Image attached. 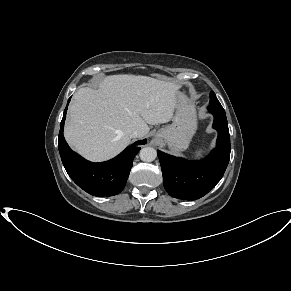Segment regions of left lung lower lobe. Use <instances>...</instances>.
<instances>
[{"label":"left lung lower lobe","mask_w":291,"mask_h":291,"mask_svg":"<svg viewBox=\"0 0 291 291\" xmlns=\"http://www.w3.org/2000/svg\"><path fill=\"white\" fill-rule=\"evenodd\" d=\"M214 115L213 128L218 131L216 148L208 157L189 161L157 151L163 184L169 195L196 200L206 195L222 178L230 158V136L225 111L221 105H209Z\"/></svg>","instance_id":"obj_1"}]
</instances>
